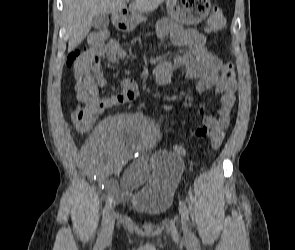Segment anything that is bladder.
<instances>
[{
    "label": "bladder",
    "instance_id": "obj_1",
    "mask_svg": "<svg viewBox=\"0 0 295 250\" xmlns=\"http://www.w3.org/2000/svg\"><path fill=\"white\" fill-rule=\"evenodd\" d=\"M151 180L134 190L130 207L148 217L167 212L173 202L183 164L179 156L170 151H158L149 159Z\"/></svg>",
    "mask_w": 295,
    "mask_h": 250
}]
</instances>
